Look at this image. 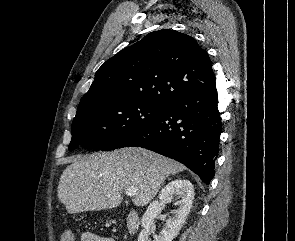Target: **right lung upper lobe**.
I'll list each match as a JSON object with an SVG mask.
<instances>
[{
  "label": "right lung upper lobe",
  "instance_id": "1",
  "mask_svg": "<svg viewBox=\"0 0 295 241\" xmlns=\"http://www.w3.org/2000/svg\"><path fill=\"white\" fill-rule=\"evenodd\" d=\"M215 83L209 56L186 34L158 30L106 61L83 96L116 92L122 98L165 106Z\"/></svg>",
  "mask_w": 295,
  "mask_h": 241
}]
</instances>
